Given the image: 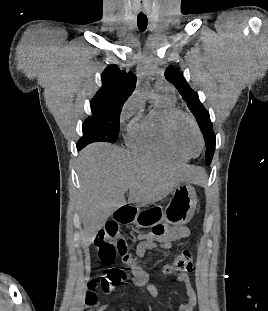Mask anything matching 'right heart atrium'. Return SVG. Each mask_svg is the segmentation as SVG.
Returning a JSON list of instances; mask_svg holds the SVG:
<instances>
[{
  "label": "right heart atrium",
  "mask_w": 268,
  "mask_h": 311,
  "mask_svg": "<svg viewBox=\"0 0 268 311\" xmlns=\"http://www.w3.org/2000/svg\"><path fill=\"white\" fill-rule=\"evenodd\" d=\"M141 111V104L140 101L134 97L128 101V103L125 105L121 118L122 120H126L130 118L131 116L139 113Z\"/></svg>",
  "instance_id": "1"
}]
</instances>
